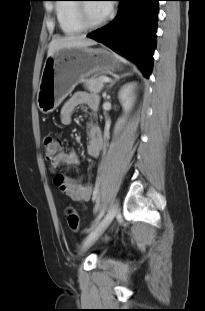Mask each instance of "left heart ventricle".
I'll use <instances>...</instances> for the list:
<instances>
[{
  "mask_svg": "<svg viewBox=\"0 0 205 311\" xmlns=\"http://www.w3.org/2000/svg\"><path fill=\"white\" fill-rule=\"evenodd\" d=\"M86 6H87V11H86L87 16L91 23H97L106 16L99 3L89 2V3H86Z\"/></svg>",
  "mask_w": 205,
  "mask_h": 311,
  "instance_id": "obj_1",
  "label": "left heart ventricle"
}]
</instances>
